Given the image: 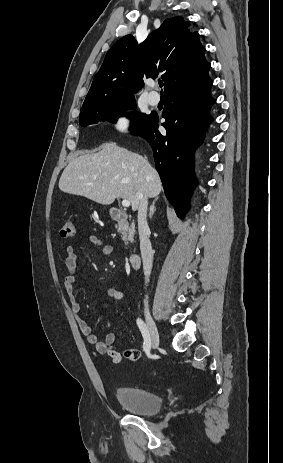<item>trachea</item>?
Instances as JSON below:
<instances>
[{
    "instance_id": "obj_1",
    "label": "trachea",
    "mask_w": 283,
    "mask_h": 463,
    "mask_svg": "<svg viewBox=\"0 0 283 463\" xmlns=\"http://www.w3.org/2000/svg\"><path fill=\"white\" fill-rule=\"evenodd\" d=\"M159 86L162 87L163 86V82L162 81H159ZM161 93H163V91L161 90Z\"/></svg>"
}]
</instances>
